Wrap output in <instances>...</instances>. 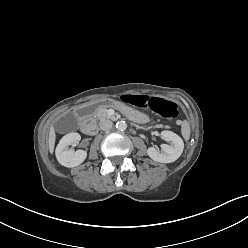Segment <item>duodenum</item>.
<instances>
[{"label": "duodenum", "instance_id": "obj_1", "mask_svg": "<svg viewBox=\"0 0 248 248\" xmlns=\"http://www.w3.org/2000/svg\"><path fill=\"white\" fill-rule=\"evenodd\" d=\"M86 104L81 105L78 109H77V116L81 122V130L83 133L87 134V135H92L95 134L97 131V125L95 122H89L88 121V117L90 115H87L84 113L83 108Z\"/></svg>", "mask_w": 248, "mask_h": 248}]
</instances>
